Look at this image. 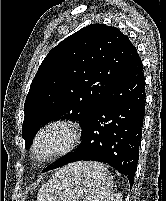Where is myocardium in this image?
I'll use <instances>...</instances> for the list:
<instances>
[{
    "mask_svg": "<svg viewBox=\"0 0 166 201\" xmlns=\"http://www.w3.org/2000/svg\"><path fill=\"white\" fill-rule=\"evenodd\" d=\"M56 128H61L66 132L67 141L65 145L59 150H56L54 152H51L45 155H40L38 151V147L42 138L50 130L56 129ZM79 139H80V130L77 124L71 121L62 120V119L50 121L44 124L36 132L32 141L31 148H30L31 158L32 160L38 163H47V162L57 160L67 155L68 153H70L77 146Z\"/></svg>",
    "mask_w": 166,
    "mask_h": 201,
    "instance_id": "myocardium-1",
    "label": "myocardium"
}]
</instances>
